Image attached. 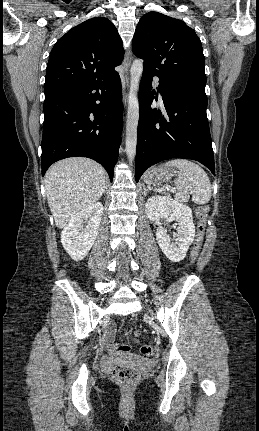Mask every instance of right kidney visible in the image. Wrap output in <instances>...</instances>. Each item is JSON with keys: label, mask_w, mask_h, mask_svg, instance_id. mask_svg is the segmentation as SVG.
Here are the masks:
<instances>
[{"label": "right kidney", "mask_w": 259, "mask_h": 431, "mask_svg": "<svg viewBox=\"0 0 259 431\" xmlns=\"http://www.w3.org/2000/svg\"><path fill=\"white\" fill-rule=\"evenodd\" d=\"M103 204L95 202L75 214L61 233L64 249L74 260H82L90 251L97 237ZM87 223L83 226V223Z\"/></svg>", "instance_id": "right-kidney-1"}]
</instances>
